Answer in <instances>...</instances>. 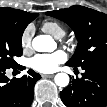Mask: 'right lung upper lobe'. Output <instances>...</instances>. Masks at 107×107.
I'll return each instance as SVG.
<instances>
[{
  "label": "right lung upper lobe",
  "instance_id": "right-lung-upper-lobe-1",
  "mask_svg": "<svg viewBox=\"0 0 107 107\" xmlns=\"http://www.w3.org/2000/svg\"><path fill=\"white\" fill-rule=\"evenodd\" d=\"M0 10L10 11L14 13L18 17V19L23 20L27 23H30L32 20H34L38 16V14H31L29 12H25V11L13 9V8H0Z\"/></svg>",
  "mask_w": 107,
  "mask_h": 107
}]
</instances>
